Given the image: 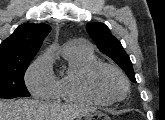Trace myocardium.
Listing matches in <instances>:
<instances>
[{"label": "myocardium", "mask_w": 165, "mask_h": 120, "mask_svg": "<svg viewBox=\"0 0 165 120\" xmlns=\"http://www.w3.org/2000/svg\"><path fill=\"white\" fill-rule=\"evenodd\" d=\"M104 69H109L114 71L116 74L119 75L121 80L124 84V92L119 97H108L102 95L96 88L95 80L97 75ZM129 81L126 77L125 73L116 65L107 63V62H97L94 65H92L88 71L85 74L84 78V89L86 93L96 101L102 103V104H112L121 101L126 97V95L129 92Z\"/></svg>", "instance_id": "myocardium-1"}]
</instances>
